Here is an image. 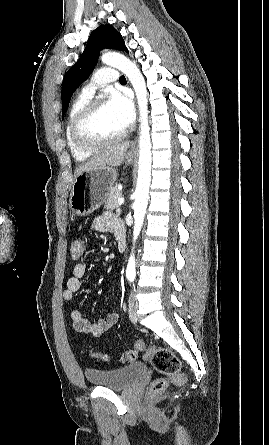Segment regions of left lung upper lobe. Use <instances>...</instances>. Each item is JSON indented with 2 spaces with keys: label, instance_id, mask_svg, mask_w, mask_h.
<instances>
[{
  "label": "left lung upper lobe",
  "instance_id": "1",
  "mask_svg": "<svg viewBox=\"0 0 269 445\" xmlns=\"http://www.w3.org/2000/svg\"><path fill=\"white\" fill-rule=\"evenodd\" d=\"M104 48L125 50L128 52L121 34L111 25H100L88 39L86 47L77 63L65 74L62 83V118L67 111L74 91L93 71L99 52Z\"/></svg>",
  "mask_w": 269,
  "mask_h": 445
}]
</instances>
